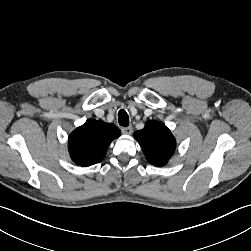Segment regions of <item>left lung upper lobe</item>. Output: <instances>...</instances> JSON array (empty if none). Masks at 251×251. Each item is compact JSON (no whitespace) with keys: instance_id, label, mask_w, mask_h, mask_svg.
<instances>
[{"instance_id":"obj_1","label":"left lung upper lobe","mask_w":251,"mask_h":251,"mask_svg":"<svg viewBox=\"0 0 251 251\" xmlns=\"http://www.w3.org/2000/svg\"><path fill=\"white\" fill-rule=\"evenodd\" d=\"M146 159L152 165L163 166L173 155L176 142L171 131L161 122L148 121L142 130L134 133Z\"/></svg>"}]
</instances>
